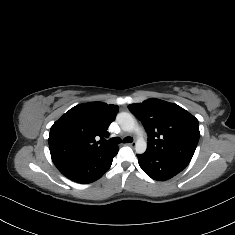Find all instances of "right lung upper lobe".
<instances>
[{
  "instance_id": "right-lung-upper-lobe-1",
  "label": "right lung upper lobe",
  "mask_w": 235,
  "mask_h": 235,
  "mask_svg": "<svg viewBox=\"0 0 235 235\" xmlns=\"http://www.w3.org/2000/svg\"><path fill=\"white\" fill-rule=\"evenodd\" d=\"M117 105L103 102L80 104L57 120L49 134V149L53 155H84L106 152L115 146L97 141L109 136L107 129L115 120Z\"/></svg>"
}]
</instances>
